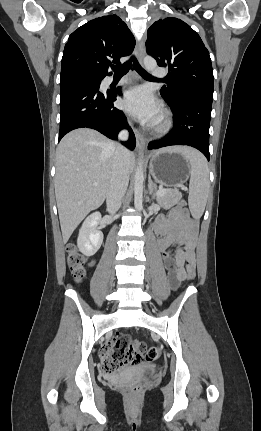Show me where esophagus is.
<instances>
[{"instance_id": "esophagus-1", "label": "esophagus", "mask_w": 261, "mask_h": 431, "mask_svg": "<svg viewBox=\"0 0 261 431\" xmlns=\"http://www.w3.org/2000/svg\"><path fill=\"white\" fill-rule=\"evenodd\" d=\"M136 55L139 63L142 65L145 56V46L143 41L137 45ZM134 133L136 137V149L138 151H143L145 149V139L137 128L134 129Z\"/></svg>"}]
</instances>
